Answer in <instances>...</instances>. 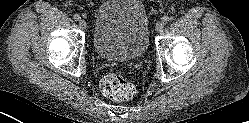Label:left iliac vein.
<instances>
[{
    "label": "left iliac vein",
    "mask_w": 249,
    "mask_h": 123,
    "mask_svg": "<svg viewBox=\"0 0 249 123\" xmlns=\"http://www.w3.org/2000/svg\"><path fill=\"white\" fill-rule=\"evenodd\" d=\"M164 29V23L162 21H159L156 23L155 30L157 32H162Z\"/></svg>",
    "instance_id": "4c4485c4"
}]
</instances>
